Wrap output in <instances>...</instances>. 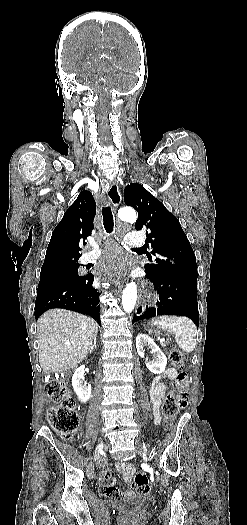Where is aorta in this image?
Instances as JSON below:
<instances>
[{
	"mask_svg": "<svg viewBox=\"0 0 247 525\" xmlns=\"http://www.w3.org/2000/svg\"><path fill=\"white\" fill-rule=\"evenodd\" d=\"M118 217L122 221L134 223L137 220V214L134 209L130 207H123L118 211ZM137 300V285L134 282H130L126 285L122 294V306L126 312H131L136 304Z\"/></svg>",
	"mask_w": 247,
	"mask_h": 525,
	"instance_id": "obj_1",
	"label": "aorta"
}]
</instances>
